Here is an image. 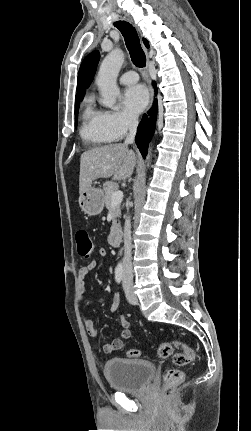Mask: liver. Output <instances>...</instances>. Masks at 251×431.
Wrapping results in <instances>:
<instances>
[{
    "instance_id": "1",
    "label": "liver",
    "mask_w": 251,
    "mask_h": 431,
    "mask_svg": "<svg viewBox=\"0 0 251 431\" xmlns=\"http://www.w3.org/2000/svg\"><path fill=\"white\" fill-rule=\"evenodd\" d=\"M137 163L133 150L125 143H114L84 152L80 159L79 193L99 178H130Z\"/></svg>"
}]
</instances>
